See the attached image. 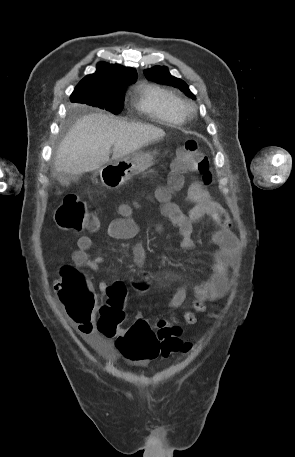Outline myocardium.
Instances as JSON below:
<instances>
[{
  "mask_svg": "<svg viewBox=\"0 0 295 457\" xmlns=\"http://www.w3.org/2000/svg\"><path fill=\"white\" fill-rule=\"evenodd\" d=\"M180 110L183 115H187L192 112L193 106L189 102L181 101L180 102Z\"/></svg>",
  "mask_w": 295,
  "mask_h": 457,
  "instance_id": "obj_1",
  "label": "myocardium"
}]
</instances>
